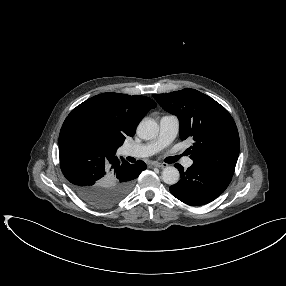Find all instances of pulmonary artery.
I'll list each match as a JSON object with an SVG mask.
<instances>
[{
	"label": "pulmonary artery",
	"instance_id": "1",
	"mask_svg": "<svg viewBox=\"0 0 286 286\" xmlns=\"http://www.w3.org/2000/svg\"><path fill=\"white\" fill-rule=\"evenodd\" d=\"M179 119L177 116L167 114L161 117L159 122V133L155 139L144 144L128 145L124 148V154L127 156L143 158L154 155L163 148L170 145L179 132ZM192 161L185 158L184 166L190 167Z\"/></svg>",
	"mask_w": 286,
	"mask_h": 286
}]
</instances>
